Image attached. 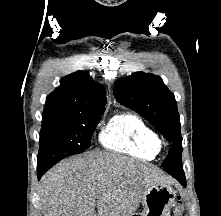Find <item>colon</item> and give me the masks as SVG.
Returning a JSON list of instances; mask_svg holds the SVG:
<instances>
[{
    "instance_id": "colon-1",
    "label": "colon",
    "mask_w": 221,
    "mask_h": 216,
    "mask_svg": "<svg viewBox=\"0 0 221 216\" xmlns=\"http://www.w3.org/2000/svg\"><path fill=\"white\" fill-rule=\"evenodd\" d=\"M182 212H183V201L179 197L176 200V202L174 204V209L171 211L169 216H182Z\"/></svg>"
}]
</instances>
